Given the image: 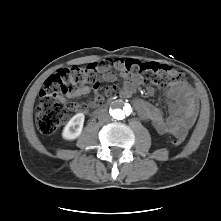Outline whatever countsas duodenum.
Returning <instances> with one entry per match:
<instances>
[{"label": "duodenum", "instance_id": "duodenum-1", "mask_svg": "<svg viewBox=\"0 0 221 221\" xmlns=\"http://www.w3.org/2000/svg\"><path fill=\"white\" fill-rule=\"evenodd\" d=\"M106 105L105 104H101L100 105V108H104Z\"/></svg>", "mask_w": 221, "mask_h": 221}]
</instances>
